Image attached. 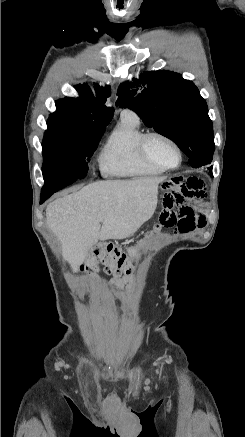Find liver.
Masks as SVG:
<instances>
[{"mask_svg":"<svg viewBox=\"0 0 245 437\" xmlns=\"http://www.w3.org/2000/svg\"><path fill=\"white\" fill-rule=\"evenodd\" d=\"M164 177L107 180L51 202L46 223L62 245L74 271L99 240L133 236L154 214Z\"/></svg>","mask_w":245,"mask_h":437,"instance_id":"obj_1","label":"liver"}]
</instances>
